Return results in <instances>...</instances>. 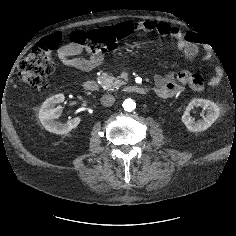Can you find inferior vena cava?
Wrapping results in <instances>:
<instances>
[{"label": "inferior vena cava", "instance_id": "1", "mask_svg": "<svg viewBox=\"0 0 236 236\" xmlns=\"http://www.w3.org/2000/svg\"><path fill=\"white\" fill-rule=\"evenodd\" d=\"M115 102V97L113 95L107 94L101 97V104L103 106L109 107L112 106Z\"/></svg>", "mask_w": 236, "mask_h": 236}]
</instances>
